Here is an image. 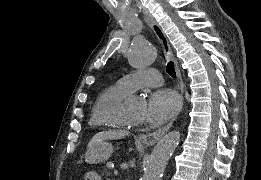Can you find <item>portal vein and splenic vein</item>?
I'll return each mask as SVG.
<instances>
[{"mask_svg":"<svg viewBox=\"0 0 261 180\" xmlns=\"http://www.w3.org/2000/svg\"><path fill=\"white\" fill-rule=\"evenodd\" d=\"M113 175H115V177H120V171L119 170H113Z\"/></svg>","mask_w":261,"mask_h":180,"instance_id":"obj_1","label":"portal vein and splenic vein"}]
</instances>
